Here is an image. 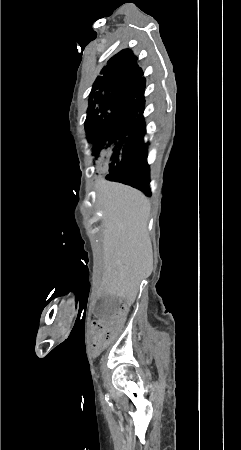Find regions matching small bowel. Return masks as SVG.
Here are the masks:
<instances>
[{
    "label": "small bowel",
    "instance_id": "obj_1",
    "mask_svg": "<svg viewBox=\"0 0 241 450\" xmlns=\"http://www.w3.org/2000/svg\"><path fill=\"white\" fill-rule=\"evenodd\" d=\"M120 310H115L113 312V317L115 319H124L126 317V314L129 312V307L127 306V302L126 301H121L120 302ZM102 322L100 320H95L92 323L93 328L91 329V334L93 336H98L101 333L100 328L102 327ZM109 333L107 335H100L99 337H97L96 339H92L90 341V346L92 348H97L99 346V344H109L113 341V336L117 334V329L112 327L109 329L108 331Z\"/></svg>",
    "mask_w": 241,
    "mask_h": 450
}]
</instances>
